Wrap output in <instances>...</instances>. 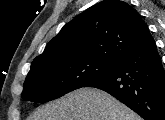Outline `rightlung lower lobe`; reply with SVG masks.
Masks as SVG:
<instances>
[{"instance_id":"obj_1","label":"right lung lower lobe","mask_w":165,"mask_h":120,"mask_svg":"<svg viewBox=\"0 0 165 120\" xmlns=\"http://www.w3.org/2000/svg\"><path fill=\"white\" fill-rule=\"evenodd\" d=\"M84 87L106 91L145 120H165V72L154 39L127 53L111 72Z\"/></svg>"}]
</instances>
